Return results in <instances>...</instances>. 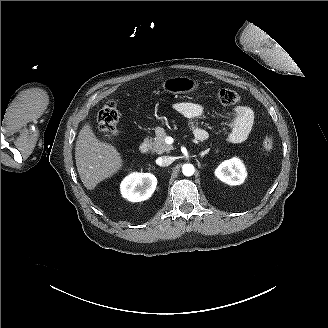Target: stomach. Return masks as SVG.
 Returning <instances> with one entry per match:
<instances>
[{"label": "stomach", "mask_w": 328, "mask_h": 328, "mask_svg": "<svg viewBox=\"0 0 328 328\" xmlns=\"http://www.w3.org/2000/svg\"><path fill=\"white\" fill-rule=\"evenodd\" d=\"M200 88V82L190 76H170L161 83L162 91L170 95H188L199 91Z\"/></svg>", "instance_id": "stomach-1"}]
</instances>
